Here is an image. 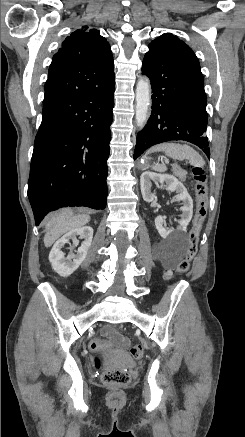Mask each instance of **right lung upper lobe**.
Listing matches in <instances>:
<instances>
[{
    "mask_svg": "<svg viewBox=\"0 0 245 437\" xmlns=\"http://www.w3.org/2000/svg\"><path fill=\"white\" fill-rule=\"evenodd\" d=\"M114 77L109 43L98 30L82 26L54 54L45 84L43 109L98 90Z\"/></svg>",
    "mask_w": 245,
    "mask_h": 437,
    "instance_id": "right-lung-upper-lobe-1",
    "label": "right lung upper lobe"
}]
</instances>
